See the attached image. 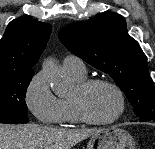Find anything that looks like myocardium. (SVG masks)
<instances>
[{"mask_svg":"<svg viewBox=\"0 0 155 149\" xmlns=\"http://www.w3.org/2000/svg\"><path fill=\"white\" fill-rule=\"evenodd\" d=\"M97 85L109 86L117 94L118 100H119V108H118V112L116 113L114 117L108 120H104V121L95 120L88 115V113L84 109L82 102L79 99H71V104L74 108V111L77 115L78 120H80L81 122L88 124V125H93V126L111 125L117 122L118 120H120L125 113V110H126L125 94L123 90L115 82L109 79H105V78L85 79L84 81L78 83L77 89L81 94H84L87 91H89L91 88Z\"/></svg>","mask_w":155,"mask_h":149,"instance_id":"1","label":"myocardium"}]
</instances>
